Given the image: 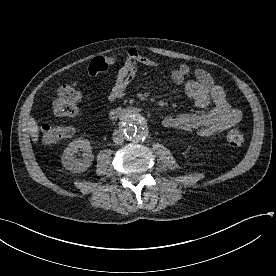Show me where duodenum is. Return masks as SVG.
<instances>
[{
  "label": "duodenum",
  "instance_id": "410a0bca",
  "mask_svg": "<svg viewBox=\"0 0 276 276\" xmlns=\"http://www.w3.org/2000/svg\"><path fill=\"white\" fill-rule=\"evenodd\" d=\"M127 113V110L123 108H115L110 112V117L113 120L120 119L121 117L125 116Z\"/></svg>",
  "mask_w": 276,
  "mask_h": 276
}]
</instances>
